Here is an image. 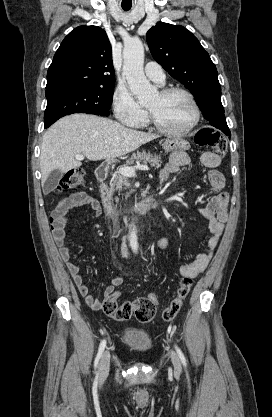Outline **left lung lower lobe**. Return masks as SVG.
Instances as JSON below:
<instances>
[{"instance_id": "left-lung-lower-lobe-1", "label": "left lung lower lobe", "mask_w": 272, "mask_h": 417, "mask_svg": "<svg viewBox=\"0 0 272 417\" xmlns=\"http://www.w3.org/2000/svg\"><path fill=\"white\" fill-rule=\"evenodd\" d=\"M226 135L231 136V133H228V134H226Z\"/></svg>"}]
</instances>
